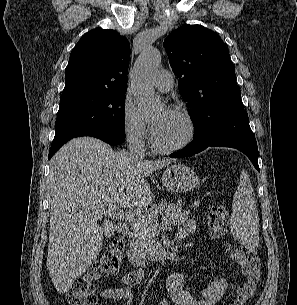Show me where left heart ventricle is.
<instances>
[{
  "instance_id": "b2bd125f",
  "label": "left heart ventricle",
  "mask_w": 297,
  "mask_h": 305,
  "mask_svg": "<svg viewBox=\"0 0 297 305\" xmlns=\"http://www.w3.org/2000/svg\"><path fill=\"white\" fill-rule=\"evenodd\" d=\"M160 120L159 124L152 128L156 142L161 146H172L182 141L188 132L185 120L170 111L161 110L151 119L152 123Z\"/></svg>"
}]
</instances>
